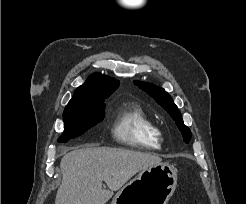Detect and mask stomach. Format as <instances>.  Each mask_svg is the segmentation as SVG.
Returning <instances> with one entry per match:
<instances>
[{
	"label": "stomach",
	"mask_w": 246,
	"mask_h": 204,
	"mask_svg": "<svg viewBox=\"0 0 246 204\" xmlns=\"http://www.w3.org/2000/svg\"><path fill=\"white\" fill-rule=\"evenodd\" d=\"M177 185V170L160 163L149 167L123 186L111 204H167Z\"/></svg>",
	"instance_id": "obj_1"
}]
</instances>
